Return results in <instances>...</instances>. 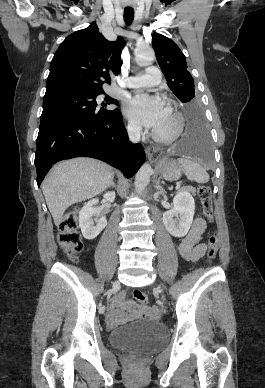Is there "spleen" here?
<instances>
[{"instance_id":"1","label":"spleen","mask_w":265,"mask_h":388,"mask_svg":"<svg viewBox=\"0 0 265 388\" xmlns=\"http://www.w3.org/2000/svg\"><path fill=\"white\" fill-rule=\"evenodd\" d=\"M179 164H181L185 176L189 178V180H194L197 184H206L209 182V176L197 162H192L190 158H178Z\"/></svg>"}]
</instances>
